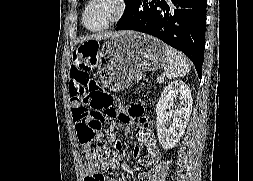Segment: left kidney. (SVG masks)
<instances>
[{"mask_svg": "<svg viewBox=\"0 0 253 181\" xmlns=\"http://www.w3.org/2000/svg\"><path fill=\"white\" fill-rule=\"evenodd\" d=\"M192 112V96L189 86L183 81L168 84L156 106L157 135L164 149L177 145L189 122Z\"/></svg>", "mask_w": 253, "mask_h": 181, "instance_id": "5707ae66", "label": "left kidney"}]
</instances>
